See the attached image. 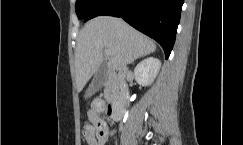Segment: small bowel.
Here are the masks:
<instances>
[{"instance_id": "c3829d8e", "label": "small bowel", "mask_w": 243, "mask_h": 145, "mask_svg": "<svg viewBox=\"0 0 243 145\" xmlns=\"http://www.w3.org/2000/svg\"><path fill=\"white\" fill-rule=\"evenodd\" d=\"M105 110V102L96 99L87 113L88 120L95 127L94 133L86 139L89 145H105L111 135L107 124L99 117V114Z\"/></svg>"}]
</instances>
